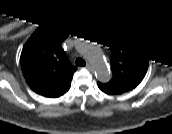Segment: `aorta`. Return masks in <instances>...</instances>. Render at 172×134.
<instances>
[{
	"mask_svg": "<svg viewBox=\"0 0 172 134\" xmlns=\"http://www.w3.org/2000/svg\"><path fill=\"white\" fill-rule=\"evenodd\" d=\"M84 56L91 64L95 75L99 80L107 81L110 78V71L104 61L101 50L96 46V43L86 46Z\"/></svg>",
	"mask_w": 172,
	"mask_h": 134,
	"instance_id": "aorta-1",
	"label": "aorta"
}]
</instances>
